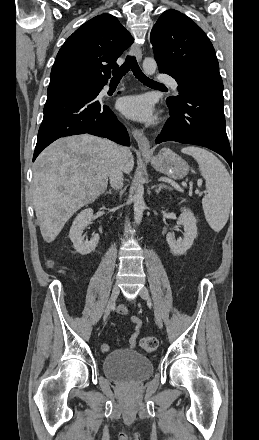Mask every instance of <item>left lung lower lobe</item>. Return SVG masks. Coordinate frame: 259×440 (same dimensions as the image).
<instances>
[{"instance_id": "left-lung-lower-lobe-1", "label": "left lung lower lobe", "mask_w": 259, "mask_h": 440, "mask_svg": "<svg viewBox=\"0 0 259 440\" xmlns=\"http://www.w3.org/2000/svg\"><path fill=\"white\" fill-rule=\"evenodd\" d=\"M161 73H167L159 66ZM168 74V73H167ZM177 105L166 100L170 118L156 143L175 141L209 148L232 165V154L225 129L223 90L197 85L180 94Z\"/></svg>"}]
</instances>
